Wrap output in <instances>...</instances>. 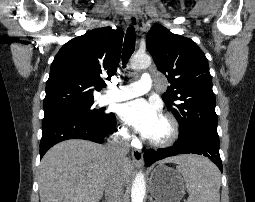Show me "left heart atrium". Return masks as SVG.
I'll return each mask as SVG.
<instances>
[{
    "label": "left heart atrium",
    "mask_w": 255,
    "mask_h": 202,
    "mask_svg": "<svg viewBox=\"0 0 255 202\" xmlns=\"http://www.w3.org/2000/svg\"><path fill=\"white\" fill-rule=\"evenodd\" d=\"M119 115L123 121L147 138L161 118L158 106L144 99L124 103L119 109Z\"/></svg>",
    "instance_id": "1"
}]
</instances>
